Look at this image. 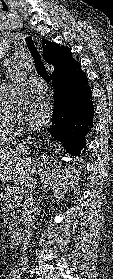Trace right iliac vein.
I'll return each instance as SVG.
<instances>
[{"label": "right iliac vein", "instance_id": "obj_1", "mask_svg": "<svg viewBox=\"0 0 113 279\" xmlns=\"http://www.w3.org/2000/svg\"><path fill=\"white\" fill-rule=\"evenodd\" d=\"M22 270H23L24 272H29V271H30V268H29L28 266H24V267L22 268Z\"/></svg>", "mask_w": 113, "mask_h": 279}]
</instances>
